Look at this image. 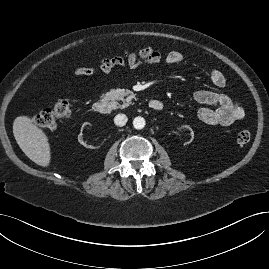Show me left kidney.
<instances>
[{
  "instance_id": "5707ae66",
  "label": "left kidney",
  "mask_w": 269,
  "mask_h": 269,
  "mask_svg": "<svg viewBox=\"0 0 269 269\" xmlns=\"http://www.w3.org/2000/svg\"><path fill=\"white\" fill-rule=\"evenodd\" d=\"M188 131V133H185L187 138H190L188 141H186L184 144H189L192 142L193 138H194V132L192 130V128L188 125H183L182 126V132H186Z\"/></svg>"
}]
</instances>
